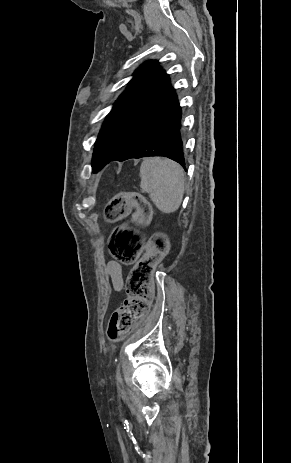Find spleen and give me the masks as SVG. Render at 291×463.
<instances>
[{"label":"spleen","instance_id":"3e777b00","mask_svg":"<svg viewBox=\"0 0 291 463\" xmlns=\"http://www.w3.org/2000/svg\"><path fill=\"white\" fill-rule=\"evenodd\" d=\"M143 192L162 213L170 214L180 207L184 190V173L180 165L166 158H147L140 167Z\"/></svg>","mask_w":291,"mask_h":463}]
</instances>
